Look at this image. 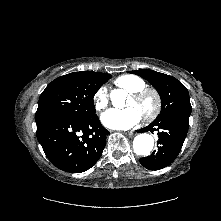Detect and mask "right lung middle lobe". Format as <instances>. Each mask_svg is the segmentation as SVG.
<instances>
[{"mask_svg":"<svg viewBox=\"0 0 221 221\" xmlns=\"http://www.w3.org/2000/svg\"><path fill=\"white\" fill-rule=\"evenodd\" d=\"M111 75L85 77L70 73L53 80L42 92L36 111V124L56 118H90L95 116L94 95Z\"/></svg>","mask_w":221,"mask_h":221,"instance_id":"dd1d6c3e","label":"right lung middle lobe"}]
</instances>
